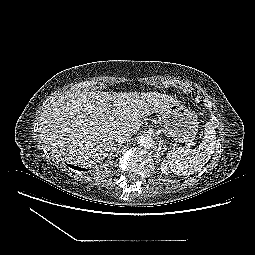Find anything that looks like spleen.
Instances as JSON below:
<instances>
[{
	"instance_id": "3e777b00",
	"label": "spleen",
	"mask_w": 255,
	"mask_h": 255,
	"mask_svg": "<svg viewBox=\"0 0 255 255\" xmlns=\"http://www.w3.org/2000/svg\"><path fill=\"white\" fill-rule=\"evenodd\" d=\"M216 132L212 122L205 124L202 143L197 149L176 147L168 153V165L176 175H190L199 172L214 153Z\"/></svg>"
}]
</instances>
